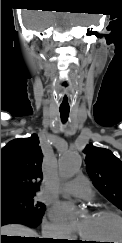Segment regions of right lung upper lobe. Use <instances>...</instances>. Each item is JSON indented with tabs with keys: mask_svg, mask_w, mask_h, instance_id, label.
Returning <instances> with one entry per match:
<instances>
[{
	"mask_svg": "<svg viewBox=\"0 0 122 243\" xmlns=\"http://www.w3.org/2000/svg\"><path fill=\"white\" fill-rule=\"evenodd\" d=\"M39 138H19L1 149V197L35 195L43 178Z\"/></svg>",
	"mask_w": 122,
	"mask_h": 243,
	"instance_id": "right-lung-upper-lobe-1",
	"label": "right lung upper lobe"
}]
</instances>
